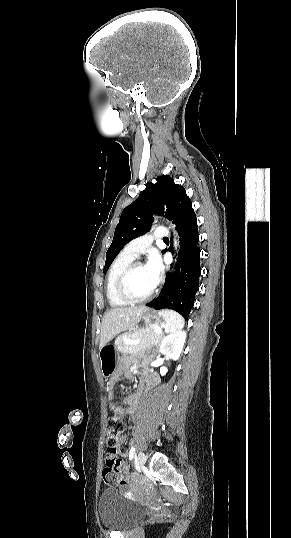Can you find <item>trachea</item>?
Segmentation results:
<instances>
[{
  "label": "trachea",
  "mask_w": 291,
  "mask_h": 538,
  "mask_svg": "<svg viewBox=\"0 0 291 538\" xmlns=\"http://www.w3.org/2000/svg\"><path fill=\"white\" fill-rule=\"evenodd\" d=\"M163 240H164V241H168V238H164Z\"/></svg>",
  "instance_id": "1"
}]
</instances>
